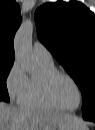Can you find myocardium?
<instances>
[{
	"instance_id": "obj_1",
	"label": "myocardium",
	"mask_w": 95,
	"mask_h": 130,
	"mask_svg": "<svg viewBox=\"0 0 95 130\" xmlns=\"http://www.w3.org/2000/svg\"><path fill=\"white\" fill-rule=\"evenodd\" d=\"M61 77H64V78H67L68 80H70L76 86V88L79 92V103L75 108H66V107L62 106L61 104L58 103V101L55 99V97L53 95L54 83L56 82L57 79H59ZM41 81H42L43 92H44L46 99L57 109L65 111V112H75L82 106L83 101H84L83 90H82L80 84L77 82V80L75 78H73L71 75L56 70L54 72L44 74Z\"/></svg>"
}]
</instances>
